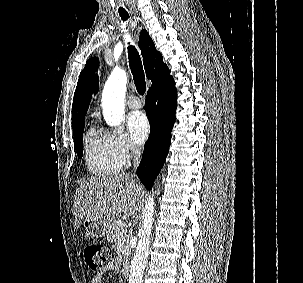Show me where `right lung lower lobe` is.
<instances>
[{"label": "right lung lower lobe", "instance_id": "right-lung-lower-lobe-1", "mask_svg": "<svg viewBox=\"0 0 303 283\" xmlns=\"http://www.w3.org/2000/svg\"><path fill=\"white\" fill-rule=\"evenodd\" d=\"M176 101L177 94L172 77L150 88L146 96L145 110L150 123V135L144 146L137 176L148 190L152 188L169 151Z\"/></svg>", "mask_w": 303, "mask_h": 283}]
</instances>
